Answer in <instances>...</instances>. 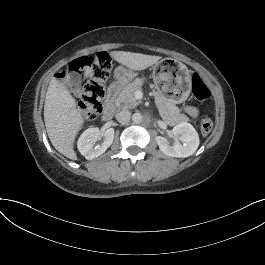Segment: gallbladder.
<instances>
[{
	"label": "gallbladder",
	"mask_w": 265,
	"mask_h": 265,
	"mask_svg": "<svg viewBox=\"0 0 265 265\" xmlns=\"http://www.w3.org/2000/svg\"><path fill=\"white\" fill-rule=\"evenodd\" d=\"M65 80L70 84L71 86L75 88H83L82 85V76L79 71L76 70H70L67 71L65 74Z\"/></svg>",
	"instance_id": "bac80fb5"
}]
</instances>
